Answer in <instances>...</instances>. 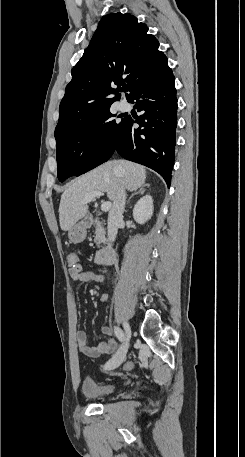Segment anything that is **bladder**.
<instances>
[{
	"label": "bladder",
	"instance_id": "31cf9c89",
	"mask_svg": "<svg viewBox=\"0 0 245 457\" xmlns=\"http://www.w3.org/2000/svg\"><path fill=\"white\" fill-rule=\"evenodd\" d=\"M112 390L113 387L111 384H98L92 379H87L83 382V397L89 399L110 396Z\"/></svg>",
	"mask_w": 245,
	"mask_h": 457
}]
</instances>
